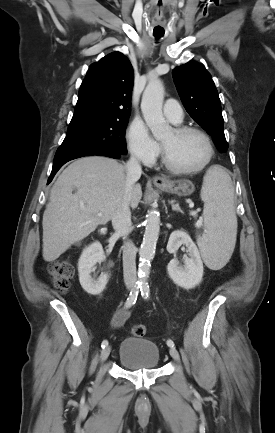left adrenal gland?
I'll list each match as a JSON object with an SVG mask.
<instances>
[{
	"mask_svg": "<svg viewBox=\"0 0 275 433\" xmlns=\"http://www.w3.org/2000/svg\"><path fill=\"white\" fill-rule=\"evenodd\" d=\"M171 206H172V210H173V211H177V212H181V213H182V210L180 209L178 203L175 204L174 202H172V203H171Z\"/></svg>",
	"mask_w": 275,
	"mask_h": 433,
	"instance_id": "obj_1",
	"label": "left adrenal gland"
}]
</instances>
